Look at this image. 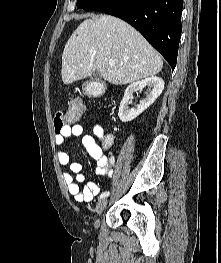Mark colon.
Returning <instances> with one entry per match:
<instances>
[{
  "label": "colon",
  "mask_w": 221,
  "mask_h": 263,
  "mask_svg": "<svg viewBox=\"0 0 221 263\" xmlns=\"http://www.w3.org/2000/svg\"><path fill=\"white\" fill-rule=\"evenodd\" d=\"M86 106L80 99H74L66 112H57L54 118V128L60 134L70 124L76 122L85 112Z\"/></svg>",
  "instance_id": "obj_1"
}]
</instances>
